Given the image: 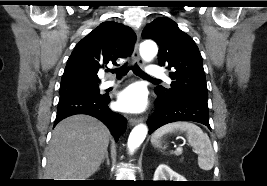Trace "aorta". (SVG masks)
I'll list each match as a JSON object with an SVG mask.
<instances>
[{"instance_id": "1", "label": "aorta", "mask_w": 267, "mask_h": 186, "mask_svg": "<svg viewBox=\"0 0 267 186\" xmlns=\"http://www.w3.org/2000/svg\"><path fill=\"white\" fill-rule=\"evenodd\" d=\"M157 52V45L152 40H145L140 44V55L146 61L152 60L157 55ZM147 132L148 128L144 124L137 125L133 128L127 143L130 152H134V150L142 144L146 138Z\"/></svg>"}]
</instances>
